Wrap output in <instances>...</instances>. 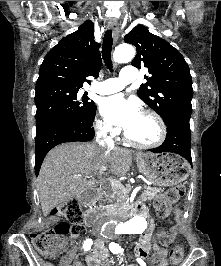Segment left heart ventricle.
<instances>
[{
    "instance_id": "b2bd125f",
    "label": "left heart ventricle",
    "mask_w": 221,
    "mask_h": 266,
    "mask_svg": "<svg viewBox=\"0 0 221 266\" xmlns=\"http://www.w3.org/2000/svg\"><path fill=\"white\" fill-rule=\"evenodd\" d=\"M126 131L132 139L139 142H150L154 140L158 132L154 121L143 114H141L137 122Z\"/></svg>"
}]
</instances>
